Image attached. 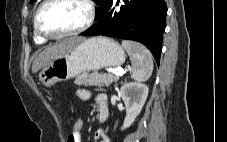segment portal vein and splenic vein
Masks as SVG:
<instances>
[{
  "label": "portal vein and splenic vein",
  "mask_w": 227,
  "mask_h": 142,
  "mask_svg": "<svg viewBox=\"0 0 227 142\" xmlns=\"http://www.w3.org/2000/svg\"><path fill=\"white\" fill-rule=\"evenodd\" d=\"M115 76H122L124 74L123 70H115L112 72Z\"/></svg>",
  "instance_id": "portal-vein-and-splenic-vein-1"
}]
</instances>
